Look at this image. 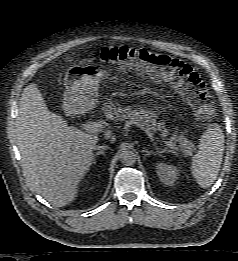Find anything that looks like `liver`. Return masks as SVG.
<instances>
[{"label":"liver","instance_id":"1","mask_svg":"<svg viewBox=\"0 0 238 261\" xmlns=\"http://www.w3.org/2000/svg\"><path fill=\"white\" fill-rule=\"evenodd\" d=\"M16 130L30 188L56 207L69 205L92 165L98 136L68 126L50 112L34 83L22 92Z\"/></svg>","mask_w":238,"mask_h":261}]
</instances>
